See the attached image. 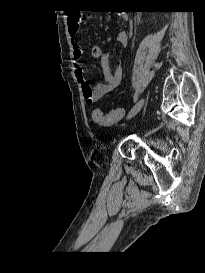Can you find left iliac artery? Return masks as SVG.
<instances>
[{
    "instance_id": "44dca946",
    "label": "left iliac artery",
    "mask_w": 205,
    "mask_h": 273,
    "mask_svg": "<svg viewBox=\"0 0 205 273\" xmlns=\"http://www.w3.org/2000/svg\"><path fill=\"white\" fill-rule=\"evenodd\" d=\"M138 96H139V92H138V91H136V92H135V95H134V102H136V101H137Z\"/></svg>"
}]
</instances>
